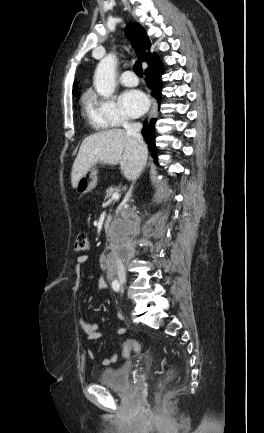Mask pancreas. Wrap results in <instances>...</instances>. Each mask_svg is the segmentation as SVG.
<instances>
[{
	"label": "pancreas",
	"instance_id": "cf45deb5",
	"mask_svg": "<svg viewBox=\"0 0 264 433\" xmlns=\"http://www.w3.org/2000/svg\"><path fill=\"white\" fill-rule=\"evenodd\" d=\"M115 192H119V188L118 187H109L107 190H106V197L108 198V197H110L113 193H115Z\"/></svg>",
	"mask_w": 264,
	"mask_h": 433
}]
</instances>
